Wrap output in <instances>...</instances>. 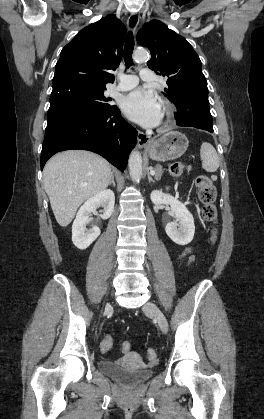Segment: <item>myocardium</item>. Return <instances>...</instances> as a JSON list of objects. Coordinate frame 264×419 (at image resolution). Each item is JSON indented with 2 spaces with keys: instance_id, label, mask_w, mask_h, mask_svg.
I'll return each instance as SVG.
<instances>
[{
  "instance_id": "f54148a6",
  "label": "myocardium",
  "mask_w": 264,
  "mask_h": 419,
  "mask_svg": "<svg viewBox=\"0 0 264 419\" xmlns=\"http://www.w3.org/2000/svg\"><path fill=\"white\" fill-rule=\"evenodd\" d=\"M161 109H162V120H161V128L168 127L175 115V108L174 105L168 100L161 101Z\"/></svg>"
}]
</instances>
